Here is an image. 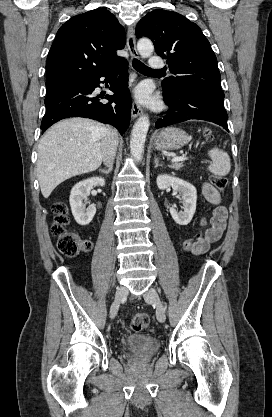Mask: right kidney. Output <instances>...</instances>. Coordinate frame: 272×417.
<instances>
[{
	"label": "right kidney",
	"mask_w": 272,
	"mask_h": 417,
	"mask_svg": "<svg viewBox=\"0 0 272 417\" xmlns=\"http://www.w3.org/2000/svg\"><path fill=\"white\" fill-rule=\"evenodd\" d=\"M105 179L101 177H92L77 183L70 193V206L74 219L79 225H88L96 213L94 204H90L88 196L93 186H104ZM86 204H89L86 208Z\"/></svg>",
	"instance_id": "1"
}]
</instances>
